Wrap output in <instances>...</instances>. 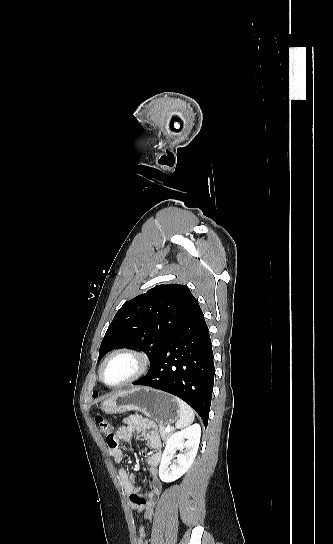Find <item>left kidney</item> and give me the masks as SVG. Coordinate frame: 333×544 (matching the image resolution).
Segmentation results:
<instances>
[{
  "label": "left kidney",
  "instance_id": "obj_1",
  "mask_svg": "<svg viewBox=\"0 0 333 544\" xmlns=\"http://www.w3.org/2000/svg\"><path fill=\"white\" fill-rule=\"evenodd\" d=\"M200 436L201 427L199 424H194L169 437L159 466L161 481L173 482L188 471L196 457ZM177 449L181 453L176 456L175 461L171 462Z\"/></svg>",
  "mask_w": 333,
  "mask_h": 544
}]
</instances>
